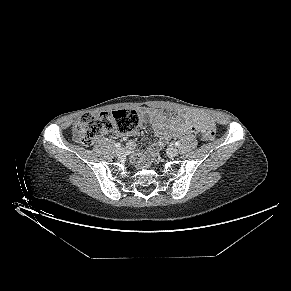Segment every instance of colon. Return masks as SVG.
Masks as SVG:
<instances>
[{"mask_svg": "<svg viewBox=\"0 0 291 291\" xmlns=\"http://www.w3.org/2000/svg\"><path fill=\"white\" fill-rule=\"evenodd\" d=\"M139 121L140 117L134 110L120 109L111 112L87 113L75 122L74 136L83 145L90 146L107 133L132 132L137 128ZM202 135L206 140H213L215 127H208Z\"/></svg>", "mask_w": 291, "mask_h": 291, "instance_id": "colon-1", "label": "colon"}]
</instances>
